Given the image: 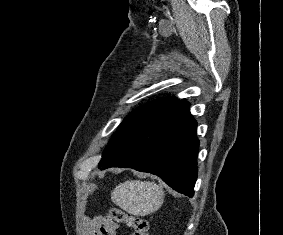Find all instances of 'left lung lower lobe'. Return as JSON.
<instances>
[{
	"instance_id": "obj_1",
	"label": "left lung lower lobe",
	"mask_w": 283,
	"mask_h": 235,
	"mask_svg": "<svg viewBox=\"0 0 283 235\" xmlns=\"http://www.w3.org/2000/svg\"><path fill=\"white\" fill-rule=\"evenodd\" d=\"M196 126L189 103L180 100L130 135L99 168L126 167L152 173L192 197L199 147Z\"/></svg>"
}]
</instances>
